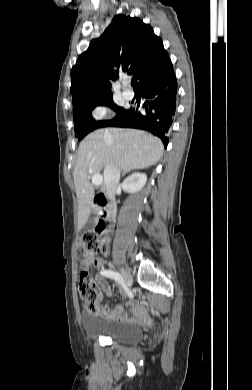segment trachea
Returning <instances> with one entry per match:
<instances>
[{"instance_id": "obj_1", "label": "trachea", "mask_w": 252, "mask_h": 390, "mask_svg": "<svg viewBox=\"0 0 252 390\" xmlns=\"http://www.w3.org/2000/svg\"><path fill=\"white\" fill-rule=\"evenodd\" d=\"M131 85H132L133 88L136 87L135 81L133 79L131 80Z\"/></svg>"}]
</instances>
